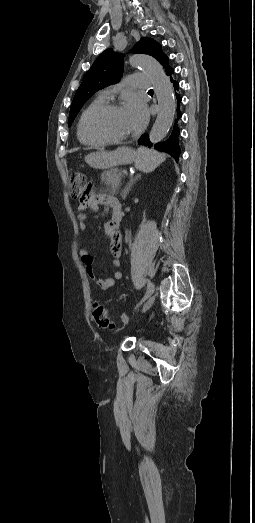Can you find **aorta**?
<instances>
[{
    "label": "aorta",
    "mask_w": 255,
    "mask_h": 523,
    "mask_svg": "<svg viewBox=\"0 0 255 523\" xmlns=\"http://www.w3.org/2000/svg\"><path fill=\"white\" fill-rule=\"evenodd\" d=\"M129 63L134 67L141 68L151 79L158 100L159 111L149 138L152 143H157L164 139L174 121L176 100L172 84L160 63L148 55L135 54L129 58Z\"/></svg>",
    "instance_id": "762f6f07"
}]
</instances>
